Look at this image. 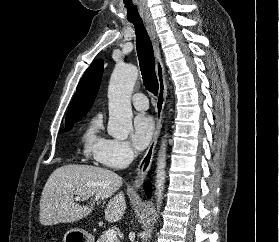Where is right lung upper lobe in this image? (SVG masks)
<instances>
[{
    "label": "right lung upper lobe",
    "instance_id": "cb5924a9",
    "mask_svg": "<svg viewBox=\"0 0 279 242\" xmlns=\"http://www.w3.org/2000/svg\"><path fill=\"white\" fill-rule=\"evenodd\" d=\"M103 61H94L82 76L69 107L65 123L78 122L91 108L99 89Z\"/></svg>",
    "mask_w": 279,
    "mask_h": 242
}]
</instances>
